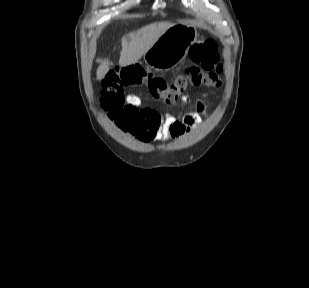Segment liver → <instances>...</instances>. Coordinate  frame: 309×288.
<instances>
[{"label": "liver", "mask_w": 309, "mask_h": 288, "mask_svg": "<svg viewBox=\"0 0 309 288\" xmlns=\"http://www.w3.org/2000/svg\"><path fill=\"white\" fill-rule=\"evenodd\" d=\"M174 24L169 22H155L142 27L136 33H129L121 40L122 50L120 52L119 65L121 67L137 62L156 42V40ZM109 60L100 63L96 75L102 80L109 71Z\"/></svg>", "instance_id": "obj_1"}]
</instances>
